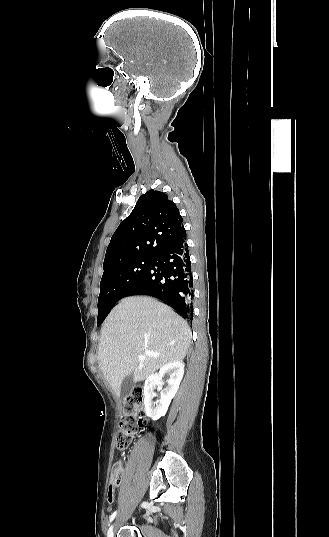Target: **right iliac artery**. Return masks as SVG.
I'll list each match as a JSON object with an SVG mask.
<instances>
[{
    "label": "right iliac artery",
    "mask_w": 329,
    "mask_h": 537,
    "mask_svg": "<svg viewBox=\"0 0 329 537\" xmlns=\"http://www.w3.org/2000/svg\"><path fill=\"white\" fill-rule=\"evenodd\" d=\"M117 514V511L113 512L111 516L109 517V522H112Z\"/></svg>",
    "instance_id": "82829eb1"
}]
</instances>
